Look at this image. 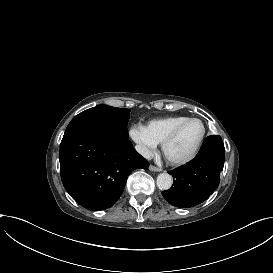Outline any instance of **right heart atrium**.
Instances as JSON below:
<instances>
[{
  "instance_id": "d8ad5b80",
  "label": "right heart atrium",
  "mask_w": 273,
  "mask_h": 273,
  "mask_svg": "<svg viewBox=\"0 0 273 273\" xmlns=\"http://www.w3.org/2000/svg\"><path fill=\"white\" fill-rule=\"evenodd\" d=\"M129 135L136 144L137 151L144 157H150L156 149V143L148 134L146 128L140 124L130 127Z\"/></svg>"
}]
</instances>
